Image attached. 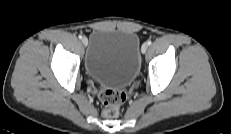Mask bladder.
Here are the masks:
<instances>
[{
	"mask_svg": "<svg viewBox=\"0 0 231 134\" xmlns=\"http://www.w3.org/2000/svg\"><path fill=\"white\" fill-rule=\"evenodd\" d=\"M84 58L87 76L111 88L130 86L140 71V39L127 30L97 29L89 38Z\"/></svg>",
	"mask_w": 231,
	"mask_h": 134,
	"instance_id": "1",
	"label": "bladder"
}]
</instances>
